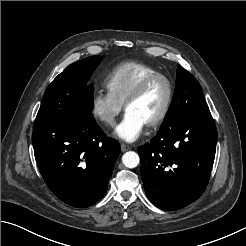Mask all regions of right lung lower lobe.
<instances>
[{
    "label": "right lung lower lobe",
    "mask_w": 246,
    "mask_h": 246,
    "mask_svg": "<svg viewBox=\"0 0 246 246\" xmlns=\"http://www.w3.org/2000/svg\"><path fill=\"white\" fill-rule=\"evenodd\" d=\"M39 171L52 193L73 207H89L106 193L120 145L89 121H35Z\"/></svg>",
    "instance_id": "obj_1"
}]
</instances>
